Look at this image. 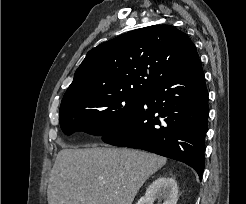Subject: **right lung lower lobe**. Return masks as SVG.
<instances>
[{
    "instance_id": "obj_1",
    "label": "right lung lower lobe",
    "mask_w": 246,
    "mask_h": 204,
    "mask_svg": "<svg viewBox=\"0 0 246 204\" xmlns=\"http://www.w3.org/2000/svg\"><path fill=\"white\" fill-rule=\"evenodd\" d=\"M208 114V92L198 59L143 92L127 120L107 131L102 140L184 162L201 179Z\"/></svg>"
}]
</instances>
